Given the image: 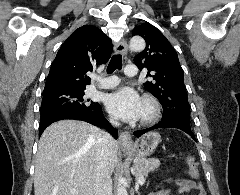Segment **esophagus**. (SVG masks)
Returning a JSON list of instances; mask_svg holds the SVG:
<instances>
[{
	"mask_svg": "<svg viewBox=\"0 0 240 195\" xmlns=\"http://www.w3.org/2000/svg\"><path fill=\"white\" fill-rule=\"evenodd\" d=\"M114 51L117 54L126 55L127 53V42L125 39L115 43ZM119 144L123 148H131L133 145L132 136L129 132L123 131L119 134Z\"/></svg>",
	"mask_w": 240,
	"mask_h": 195,
	"instance_id": "esophagus-1",
	"label": "esophagus"
}]
</instances>
